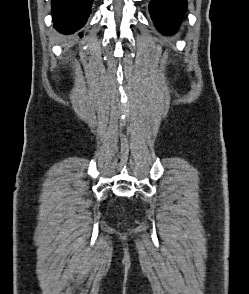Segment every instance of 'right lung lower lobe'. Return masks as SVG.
Segmentation results:
<instances>
[{"label":"right lung lower lobe","instance_id":"right-lung-lower-lobe-1","mask_svg":"<svg viewBox=\"0 0 249 294\" xmlns=\"http://www.w3.org/2000/svg\"><path fill=\"white\" fill-rule=\"evenodd\" d=\"M93 0H52L54 27L65 35L81 29L91 13Z\"/></svg>","mask_w":249,"mask_h":294}]
</instances>
